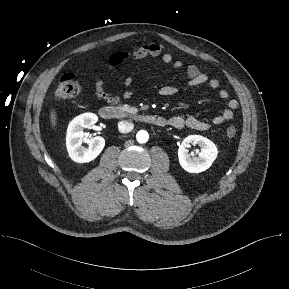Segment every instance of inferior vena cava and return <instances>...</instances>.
<instances>
[{
    "instance_id": "602c4592",
    "label": "inferior vena cava",
    "mask_w": 289,
    "mask_h": 289,
    "mask_svg": "<svg viewBox=\"0 0 289 289\" xmlns=\"http://www.w3.org/2000/svg\"><path fill=\"white\" fill-rule=\"evenodd\" d=\"M133 128H134V124L130 121L124 120V121H120L118 123V130L121 133H128V132L132 131Z\"/></svg>"
}]
</instances>
